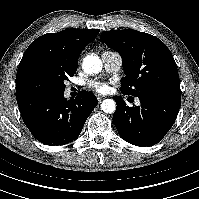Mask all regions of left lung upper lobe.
Here are the masks:
<instances>
[{
	"label": "left lung upper lobe",
	"instance_id": "5c2ea615",
	"mask_svg": "<svg viewBox=\"0 0 199 199\" xmlns=\"http://www.w3.org/2000/svg\"><path fill=\"white\" fill-rule=\"evenodd\" d=\"M100 41L122 57L125 74L121 82L123 94L181 95L176 63L170 50L160 39L148 33L126 29L104 31Z\"/></svg>",
	"mask_w": 199,
	"mask_h": 199
}]
</instances>
